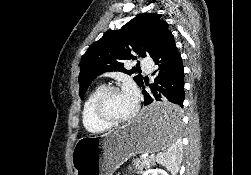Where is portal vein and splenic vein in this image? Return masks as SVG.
Listing matches in <instances>:
<instances>
[{"instance_id": "18ae733b", "label": "portal vein and splenic vein", "mask_w": 251, "mask_h": 175, "mask_svg": "<svg viewBox=\"0 0 251 175\" xmlns=\"http://www.w3.org/2000/svg\"><path fill=\"white\" fill-rule=\"evenodd\" d=\"M142 157H143V158H146V157H147V154H146V153H143V154H142Z\"/></svg>"}]
</instances>
